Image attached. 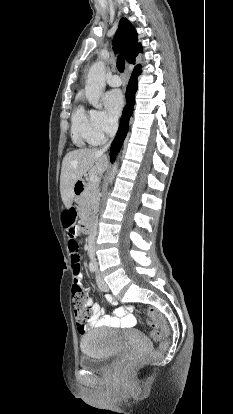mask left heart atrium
<instances>
[{
  "mask_svg": "<svg viewBox=\"0 0 233 414\" xmlns=\"http://www.w3.org/2000/svg\"><path fill=\"white\" fill-rule=\"evenodd\" d=\"M106 108L114 117H118L124 106V96L118 89L111 90L104 97Z\"/></svg>",
  "mask_w": 233,
  "mask_h": 414,
  "instance_id": "left-heart-atrium-1",
  "label": "left heart atrium"
}]
</instances>
